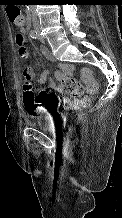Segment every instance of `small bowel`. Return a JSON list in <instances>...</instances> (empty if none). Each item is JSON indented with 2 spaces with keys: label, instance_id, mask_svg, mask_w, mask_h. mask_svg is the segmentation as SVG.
<instances>
[{
  "label": "small bowel",
  "instance_id": "c3829d8e",
  "mask_svg": "<svg viewBox=\"0 0 122 218\" xmlns=\"http://www.w3.org/2000/svg\"><path fill=\"white\" fill-rule=\"evenodd\" d=\"M21 33L24 35V32H21ZM41 53L46 59L53 61V57L47 49H45V48L41 49ZM58 68H59V70L56 72V79L59 82H62L63 80L69 78L72 75V72H73L72 65L67 64V63H60L58 65ZM29 74H30V78L34 77V71L32 69L29 70ZM49 76H50V71L45 70L41 74L40 78L38 79V82L44 83ZM94 84L97 87V83L94 82ZM49 87L51 89H54L57 92L62 91V86L57 84L53 80H50ZM49 96H50V93L45 89L39 90L38 94L34 96V102H35V106L38 110V113L45 112V106L48 104ZM23 100H24V96H23ZM65 102L68 104H73V102L68 100V99H65Z\"/></svg>",
  "mask_w": 122,
  "mask_h": 218
}]
</instances>
